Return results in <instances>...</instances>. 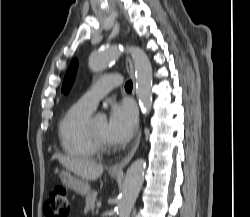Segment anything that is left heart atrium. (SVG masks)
<instances>
[{"instance_id": "left-heart-atrium-1", "label": "left heart atrium", "mask_w": 250, "mask_h": 217, "mask_svg": "<svg viewBox=\"0 0 250 217\" xmlns=\"http://www.w3.org/2000/svg\"><path fill=\"white\" fill-rule=\"evenodd\" d=\"M138 125L136 108L129 101L113 103L107 121V136L111 143L124 144L131 139Z\"/></svg>"}]
</instances>
